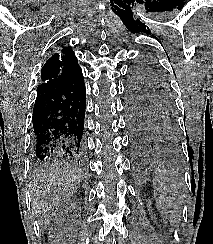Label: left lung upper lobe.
I'll list each match as a JSON object with an SVG mask.
<instances>
[{
	"mask_svg": "<svg viewBox=\"0 0 213 244\" xmlns=\"http://www.w3.org/2000/svg\"><path fill=\"white\" fill-rule=\"evenodd\" d=\"M169 84L158 64L141 60L131 67L126 91L127 111L149 122L164 141L178 136L177 111Z\"/></svg>",
	"mask_w": 213,
	"mask_h": 244,
	"instance_id": "5c2ea615",
	"label": "left lung upper lobe"
}]
</instances>
